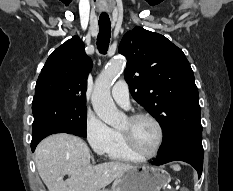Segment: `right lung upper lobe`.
I'll list each match as a JSON object with an SVG mask.
<instances>
[{"instance_id": "obj_1", "label": "right lung upper lobe", "mask_w": 233, "mask_h": 191, "mask_svg": "<svg viewBox=\"0 0 233 191\" xmlns=\"http://www.w3.org/2000/svg\"><path fill=\"white\" fill-rule=\"evenodd\" d=\"M92 67L84 44L74 36L48 57L35 87L33 101L55 98L86 104L87 77Z\"/></svg>"}]
</instances>
